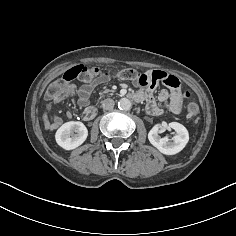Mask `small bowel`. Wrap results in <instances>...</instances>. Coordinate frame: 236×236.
Segmentation results:
<instances>
[{
  "label": "small bowel",
  "mask_w": 236,
  "mask_h": 236,
  "mask_svg": "<svg viewBox=\"0 0 236 236\" xmlns=\"http://www.w3.org/2000/svg\"><path fill=\"white\" fill-rule=\"evenodd\" d=\"M142 76H144L146 79L145 84L141 83ZM169 77L170 76L161 70H152L144 74H140V76L136 79V83L143 87V89L137 91L132 96L138 98L141 101H145L147 110L152 115L160 116L165 113L178 115L181 112L182 97L179 84L174 87L168 86L170 88V92L167 89H162L158 94V101H156L153 96V91L156 84L158 82L165 84ZM105 81L106 77L101 76L93 80L91 83L81 86L78 90H74V88L71 87L65 88L62 92V98L76 96L78 103L81 106H84L88 103L92 90ZM51 109L52 108L49 107L45 115L46 128L49 130L55 129L60 124V118L51 114ZM68 115H70L69 112Z\"/></svg>",
  "instance_id": "small-bowel-1"
}]
</instances>
